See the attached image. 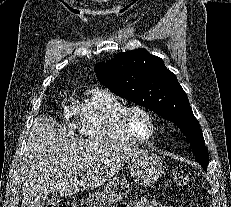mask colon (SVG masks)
Wrapping results in <instances>:
<instances>
[{
    "mask_svg": "<svg viewBox=\"0 0 231 207\" xmlns=\"http://www.w3.org/2000/svg\"><path fill=\"white\" fill-rule=\"evenodd\" d=\"M173 180L174 183L180 188L186 189L190 187V183H191L190 175L183 170L175 171L173 173ZM48 207H77V206L73 199H63L48 205Z\"/></svg>",
    "mask_w": 231,
    "mask_h": 207,
    "instance_id": "colon-1",
    "label": "colon"
}]
</instances>
